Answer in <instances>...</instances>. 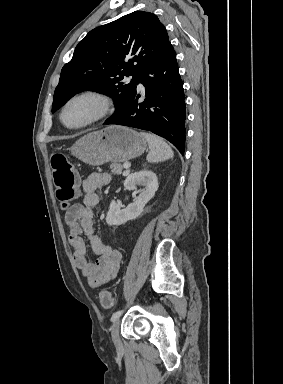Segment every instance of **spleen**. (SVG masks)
Wrapping results in <instances>:
<instances>
[{"instance_id":"1","label":"spleen","mask_w":283,"mask_h":384,"mask_svg":"<svg viewBox=\"0 0 283 384\" xmlns=\"http://www.w3.org/2000/svg\"><path fill=\"white\" fill-rule=\"evenodd\" d=\"M140 136L145 138L149 144L150 152L147 156V162L153 164V162H165V160L173 158L174 154L163 138H158V136H153V134H145V132H140Z\"/></svg>"}]
</instances>
